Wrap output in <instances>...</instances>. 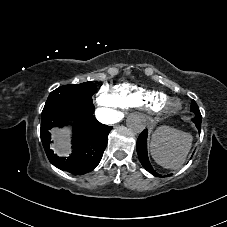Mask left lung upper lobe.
Returning <instances> with one entry per match:
<instances>
[{
    "mask_svg": "<svg viewBox=\"0 0 227 227\" xmlns=\"http://www.w3.org/2000/svg\"><path fill=\"white\" fill-rule=\"evenodd\" d=\"M191 111L195 114V117L192 119L193 122L201 123L202 116L199 107L194 100H192L191 103Z\"/></svg>",
    "mask_w": 227,
    "mask_h": 227,
    "instance_id": "obj_1",
    "label": "left lung upper lobe"
}]
</instances>
